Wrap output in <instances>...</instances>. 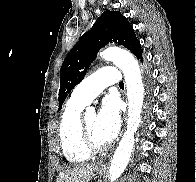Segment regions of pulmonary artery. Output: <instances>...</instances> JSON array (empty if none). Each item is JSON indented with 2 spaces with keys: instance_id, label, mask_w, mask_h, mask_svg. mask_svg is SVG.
Returning a JSON list of instances; mask_svg holds the SVG:
<instances>
[{
  "instance_id": "1",
  "label": "pulmonary artery",
  "mask_w": 196,
  "mask_h": 182,
  "mask_svg": "<svg viewBox=\"0 0 196 182\" xmlns=\"http://www.w3.org/2000/svg\"><path fill=\"white\" fill-rule=\"evenodd\" d=\"M118 83H120L119 71L115 67H102L74 88L72 98L89 104L106 87Z\"/></svg>"
}]
</instances>
